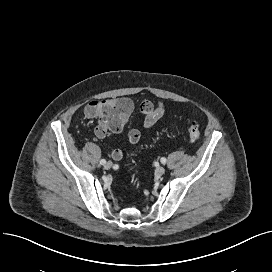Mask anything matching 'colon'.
Masks as SVG:
<instances>
[{
  "mask_svg": "<svg viewBox=\"0 0 272 272\" xmlns=\"http://www.w3.org/2000/svg\"><path fill=\"white\" fill-rule=\"evenodd\" d=\"M98 134L104 136L108 130L117 131L123 127L125 119L118 113V111L111 106L103 107L98 113ZM130 136L134 139L140 137V132L136 129L130 130ZM188 135L190 142H196L200 137L198 125L192 123L188 127Z\"/></svg>",
  "mask_w": 272,
  "mask_h": 272,
  "instance_id": "5ec220e1",
  "label": "colon"
}]
</instances>
